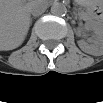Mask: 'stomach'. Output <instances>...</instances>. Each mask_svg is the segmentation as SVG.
<instances>
[{"label": "stomach", "instance_id": "obj_1", "mask_svg": "<svg viewBox=\"0 0 103 103\" xmlns=\"http://www.w3.org/2000/svg\"><path fill=\"white\" fill-rule=\"evenodd\" d=\"M79 4L82 5V6H86V7H88L89 9H92V7L94 6V5L92 4V2L87 1V0H82V1L79 2Z\"/></svg>", "mask_w": 103, "mask_h": 103}]
</instances>
